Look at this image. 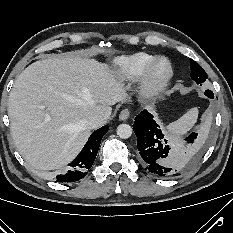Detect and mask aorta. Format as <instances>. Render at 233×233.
<instances>
[{
	"label": "aorta",
	"mask_w": 233,
	"mask_h": 233,
	"mask_svg": "<svg viewBox=\"0 0 233 233\" xmlns=\"http://www.w3.org/2000/svg\"><path fill=\"white\" fill-rule=\"evenodd\" d=\"M117 135L121 138V139H127L132 135V128L130 125L128 124H120L117 127Z\"/></svg>",
	"instance_id": "762f6f07"
}]
</instances>
